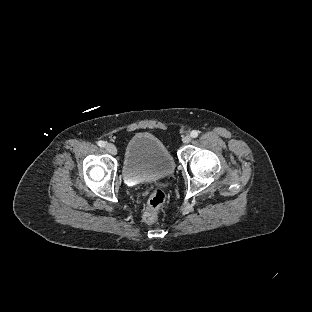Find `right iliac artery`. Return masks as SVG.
<instances>
[{
	"mask_svg": "<svg viewBox=\"0 0 312 312\" xmlns=\"http://www.w3.org/2000/svg\"><path fill=\"white\" fill-rule=\"evenodd\" d=\"M98 146L100 147H104L105 146V142L104 141H98Z\"/></svg>",
	"mask_w": 312,
	"mask_h": 312,
	"instance_id": "1",
	"label": "right iliac artery"
}]
</instances>
